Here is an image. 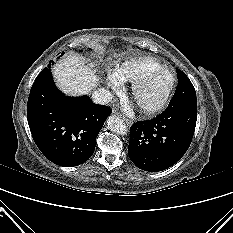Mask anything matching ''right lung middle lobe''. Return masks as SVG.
I'll return each mask as SVG.
<instances>
[{"instance_id":"right-lung-middle-lobe-1","label":"right lung middle lobe","mask_w":233,"mask_h":233,"mask_svg":"<svg viewBox=\"0 0 233 233\" xmlns=\"http://www.w3.org/2000/svg\"><path fill=\"white\" fill-rule=\"evenodd\" d=\"M53 64H54V62H52V60H51L50 63H49V65H48V67L44 68L42 70V72L37 76V78L35 80H38V79H41V78L47 76L50 73V68H51V65H53Z\"/></svg>"}]
</instances>
